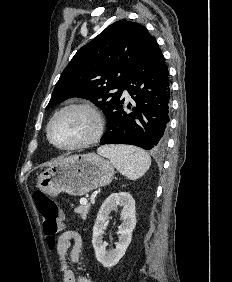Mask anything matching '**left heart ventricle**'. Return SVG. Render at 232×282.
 Masks as SVG:
<instances>
[{
  "instance_id": "obj_1",
  "label": "left heart ventricle",
  "mask_w": 232,
  "mask_h": 282,
  "mask_svg": "<svg viewBox=\"0 0 232 282\" xmlns=\"http://www.w3.org/2000/svg\"><path fill=\"white\" fill-rule=\"evenodd\" d=\"M94 129L95 120L90 113L73 109L61 114L54 121L51 135L59 145H72L87 139Z\"/></svg>"
}]
</instances>
